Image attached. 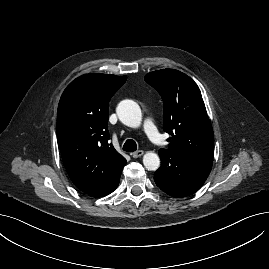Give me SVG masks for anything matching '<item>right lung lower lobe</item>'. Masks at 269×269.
I'll use <instances>...</instances> for the list:
<instances>
[{"label":"right lung lower lobe","instance_id":"obj_1","mask_svg":"<svg viewBox=\"0 0 269 269\" xmlns=\"http://www.w3.org/2000/svg\"><path fill=\"white\" fill-rule=\"evenodd\" d=\"M121 172H122V170L111 181H109L108 183H106L102 187H100L92 192H89L87 194L90 196H93V197H102V196H106V195L110 194L111 192H113L117 188L119 181H120Z\"/></svg>","mask_w":269,"mask_h":269}]
</instances>
